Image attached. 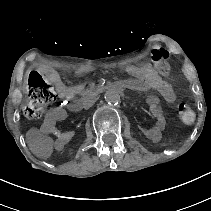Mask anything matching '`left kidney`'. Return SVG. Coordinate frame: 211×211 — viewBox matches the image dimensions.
I'll list each match as a JSON object with an SVG mask.
<instances>
[{
    "label": "left kidney",
    "mask_w": 211,
    "mask_h": 211,
    "mask_svg": "<svg viewBox=\"0 0 211 211\" xmlns=\"http://www.w3.org/2000/svg\"><path fill=\"white\" fill-rule=\"evenodd\" d=\"M150 115L153 117V124L149 126L144 122H137L134 125L135 132L146 138H154L168 131L169 120L159 107L151 108Z\"/></svg>",
    "instance_id": "obj_1"
}]
</instances>
